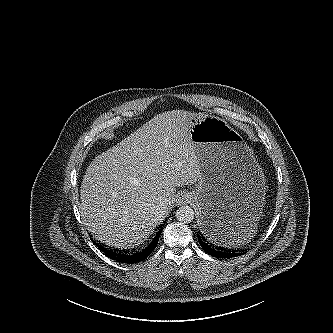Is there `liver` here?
<instances>
[{
	"label": "liver",
	"mask_w": 333,
	"mask_h": 333,
	"mask_svg": "<svg viewBox=\"0 0 333 333\" xmlns=\"http://www.w3.org/2000/svg\"><path fill=\"white\" fill-rule=\"evenodd\" d=\"M194 118L183 110L158 114L95 157L83 177L79 205L95 237L117 247L142 244L172 210L176 187L198 181L189 134Z\"/></svg>",
	"instance_id": "liver-1"
}]
</instances>
